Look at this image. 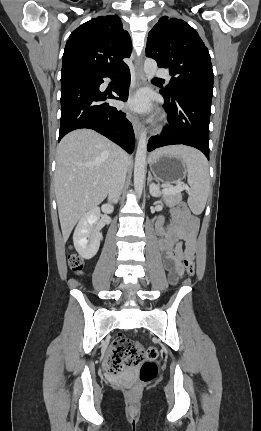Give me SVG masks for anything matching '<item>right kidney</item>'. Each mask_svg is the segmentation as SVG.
<instances>
[{"label":"right kidney","mask_w":261,"mask_h":431,"mask_svg":"<svg viewBox=\"0 0 261 431\" xmlns=\"http://www.w3.org/2000/svg\"><path fill=\"white\" fill-rule=\"evenodd\" d=\"M101 210L110 214L113 208L109 204H104ZM100 215V208H92L84 214L75 228L73 243L76 251L84 259H91L99 249L102 234L94 228V225L100 219Z\"/></svg>","instance_id":"right-kidney-1"}]
</instances>
